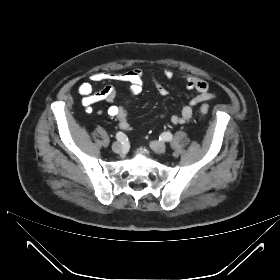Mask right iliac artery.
<instances>
[{"label":"right iliac artery","instance_id":"obj_1","mask_svg":"<svg viewBox=\"0 0 280 280\" xmlns=\"http://www.w3.org/2000/svg\"><path fill=\"white\" fill-rule=\"evenodd\" d=\"M116 138L120 143H125L127 141V136L123 132H118Z\"/></svg>","mask_w":280,"mask_h":280}]
</instances>
